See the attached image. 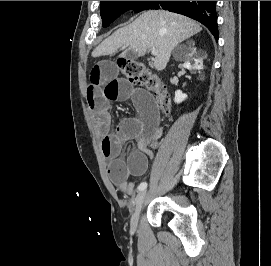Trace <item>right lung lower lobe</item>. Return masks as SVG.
I'll return each mask as SVG.
<instances>
[{
    "label": "right lung lower lobe",
    "mask_w": 271,
    "mask_h": 266,
    "mask_svg": "<svg viewBox=\"0 0 271 266\" xmlns=\"http://www.w3.org/2000/svg\"><path fill=\"white\" fill-rule=\"evenodd\" d=\"M159 8L183 14L199 21L218 40L216 1H155L149 9Z\"/></svg>",
    "instance_id": "1"
}]
</instances>
